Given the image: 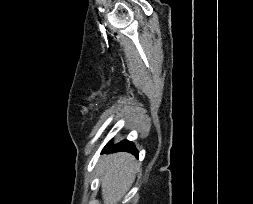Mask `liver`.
<instances>
[{
  "label": "liver",
  "mask_w": 253,
  "mask_h": 204,
  "mask_svg": "<svg viewBox=\"0 0 253 204\" xmlns=\"http://www.w3.org/2000/svg\"><path fill=\"white\" fill-rule=\"evenodd\" d=\"M135 157L126 152L103 155L99 161L104 204H118L135 180Z\"/></svg>",
  "instance_id": "liver-1"
}]
</instances>
